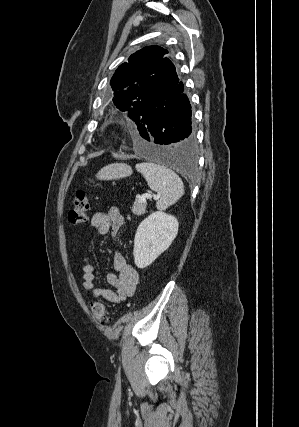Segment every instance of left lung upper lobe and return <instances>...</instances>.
<instances>
[{
    "label": "left lung upper lobe",
    "mask_w": 299,
    "mask_h": 427,
    "mask_svg": "<svg viewBox=\"0 0 299 427\" xmlns=\"http://www.w3.org/2000/svg\"><path fill=\"white\" fill-rule=\"evenodd\" d=\"M168 51L148 46L132 54L118 67L111 79L113 102L137 121L142 108L163 98L179 82L175 66L166 57Z\"/></svg>",
    "instance_id": "left-lung-upper-lobe-1"
}]
</instances>
